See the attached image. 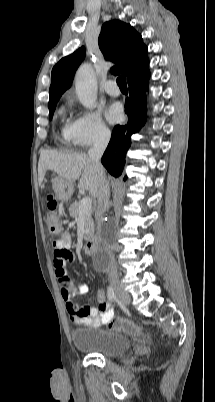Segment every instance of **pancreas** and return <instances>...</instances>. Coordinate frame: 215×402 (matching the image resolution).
I'll return each mask as SVG.
<instances>
[{
    "label": "pancreas",
    "mask_w": 215,
    "mask_h": 402,
    "mask_svg": "<svg viewBox=\"0 0 215 402\" xmlns=\"http://www.w3.org/2000/svg\"><path fill=\"white\" fill-rule=\"evenodd\" d=\"M79 205H80V202H77V201L73 202L70 205L69 213L72 218L78 219L80 217L79 211H78ZM82 216L84 218V225H85L84 239L89 240V239H91V237L93 236L94 231H95L94 221L92 218V210H89L87 213L83 214Z\"/></svg>",
    "instance_id": "1"
}]
</instances>
